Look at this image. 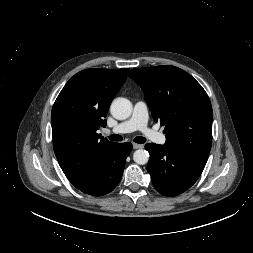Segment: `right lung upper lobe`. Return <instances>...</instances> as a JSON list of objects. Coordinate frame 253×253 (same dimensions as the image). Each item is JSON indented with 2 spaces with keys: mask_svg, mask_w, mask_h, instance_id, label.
<instances>
[{
  "mask_svg": "<svg viewBox=\"0 0 253 253\" xmlns=\"http://www.w3.org/2000/svg\"><path fill=\"white\" fill-rule=\"evenodd\" d=\"M128 71V68L80 71L66 83L53 105V149L72 184L84 179L113 143L96 131L106 126L107 111Z\"/></svg>",
  "mask_w": 253,
  "mask_h": 253,
  "instance_id": "1",
  "label": "right lung upper lobe"
}]
</instances>
